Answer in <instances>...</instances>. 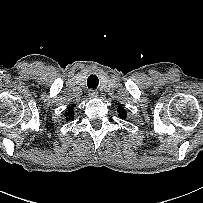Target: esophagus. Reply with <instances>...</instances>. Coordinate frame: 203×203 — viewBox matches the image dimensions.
Masks as SVG:
<instances>
[{
	"label": "esophagus",
	"mask_w": 203,
	"mask_h": 203,
	"mask_svg": "<svg viewBox=\"0 0 203 203\" xmlns=\"http://www.w3.org/2000/svg\"><path fill=\"white\" fill-rule=\"evenodd\" d=\"M98 96V92L94 89L89 90V97L96 98Z\"/></svg>",
	"instance_id": "34e87169"
}]
</instances>
